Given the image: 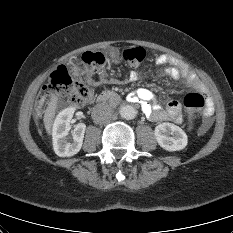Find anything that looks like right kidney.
<instances>
[{
    "label": "right kidney",
    "mask_w": 233,
    "mask_h": 233,
    "mask_svg": "<svg viewBox=\"0 0 233 233\" xmlns=\"http://www.w3.org/2000/svg\"><path fill=\"white\" fill-rule=\"evenodd\" d=\"M74 108L68 107L57 115L53 125V148L59 157H71L77 154L83 144L86 125L79 123L72 131V140L69 141L70 121L74 114Z\"/></svg>",
    "instance_id": "1"
}]
</instances>
